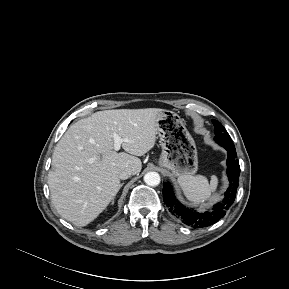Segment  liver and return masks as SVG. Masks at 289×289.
I'll use <instances>...</instances> for the list:
<instances>
[{
	"instance_id": "6515ba94",
	"label": "liver",
	"mask_w": 289,
	"mask_h": 289,
	"mask_svg": "<svg viewBox=\"0 0 289 289\" xmlns=\"http://www.w3.org/2000/svg\"><path fill=\"white\" fill-rule=\"evenodd\" d=\"M161 109H119L94 113L71 125L57 143L48 173L57 212L76 226H86L108 206L120 185L119 172L140 173L142 156L156 142ZM128 139L125 152L114 150L113 134Z\"/></svg>"
}]
</instances>
